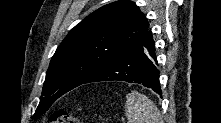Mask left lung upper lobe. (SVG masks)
Returning <instances> with one entry per match:
<instances>
[{
  "label": "left lung upper lobe",
  "mask_w": 221,
  "mask_h": 123,
  "mask_svg": "<svg viewBox=\"0 0 221 123\" xmlns=\"http://www.w3.org/2000/svg\"><path fill=\"white\" fill-rule=\"evenodd\" d=\"M148 28L144 14L128 0L105 5L83 19L56 49L33 118L135 44Z\"/></svg>",
  "instance_id": "left-lung-upper-lobe-1"
}]
</instances>
